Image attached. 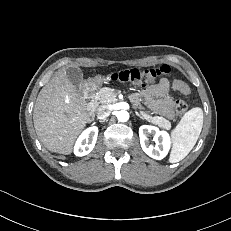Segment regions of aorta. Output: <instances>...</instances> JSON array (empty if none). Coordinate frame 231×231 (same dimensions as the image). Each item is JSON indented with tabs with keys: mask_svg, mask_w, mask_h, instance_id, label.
Masks as SVG:
<instances>
[{
	"mask_svg": "<svg viewBox=\"0 0 231 231\" xmlns=\"http://www.w3.org/2000/svg\"><path fill=\"white\" fill-rule=\"evenodd\" d=\"M117 119L120 122H126L129 120V113L125 110H121L117 113Z\"/></svg>",
	"mask_w": 231,
	"mask_h": 231,
	"instance_id": "obj_1",
	"label": "aorta"
}]
</instances>
